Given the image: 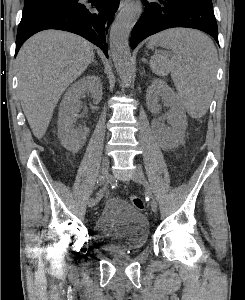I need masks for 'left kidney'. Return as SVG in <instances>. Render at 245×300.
Returning <instances> with one entry per match:
<instances>
[{"instance_id": "1", "label": "left kidney", "mask_w": 245, "mask_h": 300, "mask_svg": "<svg viewBox=\"0 0 245 300\" xmlns=\"http://www.w3.org/2000/svg\"><path fill=\"white\" fill-rule=\"evenodd\" d=\"M147 105L152 113H157L160 109L161 99L170 107L167 120L171 127L162 124L156 125V131L162 145L173 148L180 144L185 135L187 118L184 106L178 95L162 79H155L147 89Z\"/></svg>"}]
</instances>
